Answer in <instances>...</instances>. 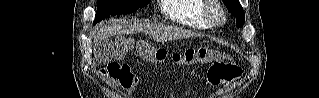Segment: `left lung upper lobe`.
I'll return each mask as SVG.
<instances>
[{"label": "left lung upper lobe", "instance_id": "obj_1", "mask_svg": "<svg viewBox=\"0 0 319 98\" xmlns=\"http://www.w3.org/2000/svg\"><path fill=\"white\" fill-rule=\"evenodd\" d=\"M227 9L236 17V25L242 27L245 22V14L239 0H223Z\"/></svg>", "mask_w": 319, "mask_h": 98}]
</instances>
